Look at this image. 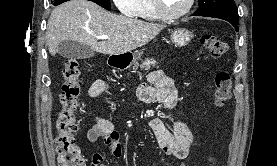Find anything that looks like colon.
I'll return each mask as SVG.
<instances>
[{"instance_id": "obj_1", "label": "colon", "mask_w": 277, "mask_h": 166, "mask_svg": "<svg viewBox=\"0 0 277 166\" xmlns=\"http://www.w3.org/2000/svg\"><path fill=\"white\" fill-rule=\"evenodd\" d=\"M200 45L210 58H218L226 53L228 44L213 35H203ZM80 65L74 58L66 60L63 69L64 83L60 93L61 110L56 120V148L58 152L59 166H86L84 157L76 144L75 132L77 124L75 111L81 94ZM232 80L228 72H218L214 78V103L222 108L231 96ZM210 164L215 163L214 157L210 158Z\"/></svg>"}]
</instances>
